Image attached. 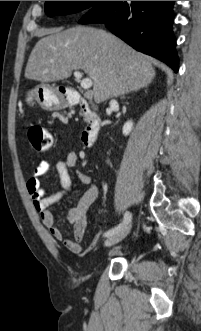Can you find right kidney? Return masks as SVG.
Returning <instances> with one entry per match:
<instances>
[{"label": "right kidney", "mask_w": 201, "mask_h": 331, "mask_svg": "<svg viewBox=\"0 0 201 331\" xmlns=\"http://www.w3.org/2000/svg\"><path fill=\"white\" fill-rule=\"evenodd\" d=\"M133 129V122L132 121H127L124 126H123V134L125 136L129 135Z\"/></svg>", "instance_id": "right-kidney-1"}]
</instances>
